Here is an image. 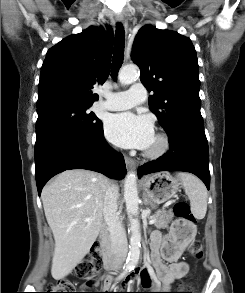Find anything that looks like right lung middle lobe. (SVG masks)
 <instances>
[{
	"label": "right lung middle lobe",
	"mask_w": 245,
	"mask_h": 293,
	"mask_svg": "<svg viewBox=\"0 0 245 293\" xmlns=\"http://www.w3.org/2000/svg\"><path fill=\"white\" fill-rule=\"evenodd\" d=\"M91 105L52 104L37 108L35 152L62 136L89 134L101 127V121L87 109Z\"/></svg>",
	"instance_id": "obj_1"
}]
</instances>
